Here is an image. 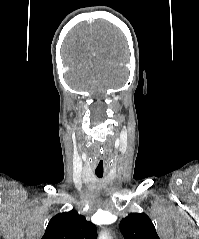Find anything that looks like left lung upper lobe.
<instances>
[{
  "mask_svg": "<svg viewBox=\"0 0 199 239\" xmlns=\"http://www.w3.org/2000/svg\"><path fill=\"white\" fill-rule=\"evenodd\" d=\"M124 239H160L150 218L144 213H131L120 222Z\"/></svg>",
  "mask_w": 199,
  "mask_h": 239,
  "instance_id": "1",
  "label": "left lung upper lobe"
}]
</instances>
